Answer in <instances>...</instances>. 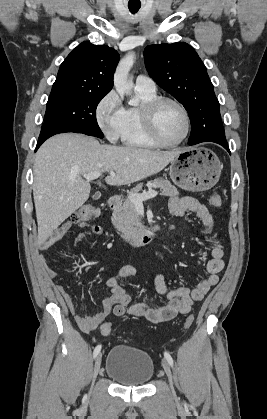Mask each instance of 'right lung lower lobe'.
Segmentation results:
<instances>
[{
	"mask_svg": "<svg viewBox=\"0 0 267 419\" xmlns=\"http://www.w3.org/2000/svg\"><path fill=\"white\" fill-rule=\"evenodd\" d=\"M64 132H68L65 129L56 127V126H51V125H43L41 128V132H40V136L38 139V143L36 146L35 151L40 147V145L49 137L58 134V133H64Z\"/></svg>",
	"mask_w": 267,
	"mask_h": 419,
	"instance_id": "98d812e1",
	"label": "right lung lower lobe"
}]
</instances>
